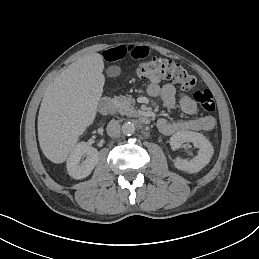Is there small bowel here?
<instances>
[{
	"mask_svg": "<svg viewBox=\"0 0 259 259\" xmlns=\"http://www.w3.org/2000/svg\"><path fill=\"white\" fill-rule=\"evenodd\" d=\"M149 48L143 45H117L103 51L102 56L105 61L115 62L125 57L140 60L147 57ZM150 96L160 97L164 106L173 109L177 103L176 88L171 83L159 85L151 83L147 87ZM179 106L182 112L192 116L197 112V104L189 95H182L179 98ZM216 120L213 116L205 115L185 120L170 121L160 118L157 121L158 130L164 135H172L180 131H209L215 127Z\"/></svg>",
	"mask_w": 259,
	"mask_h": 259,
	"instance_id": "c3829d8e",
	"label": "small bowel"
}]
</instances>
